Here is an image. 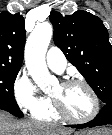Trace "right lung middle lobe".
Instances as JSON below:
<instances>
[{
    "instance_id": "right-lung-middle-lobe-1",
    "label": "right lung middle lobe",
    "mask_w": 112,
    "mask_h": 135,
    "mask_svg": "<svg viewBox=\"0 0 112 135\" xmlns=\"http://www.w3.org/2000/svg\"><path fill=\"white\" fill-rule=\"evenodd\" d=\"M20 67L0 66V105L18 107L14 97V82Z\"/></svg>"
}]
</instances>
